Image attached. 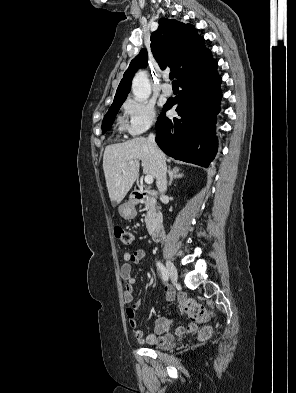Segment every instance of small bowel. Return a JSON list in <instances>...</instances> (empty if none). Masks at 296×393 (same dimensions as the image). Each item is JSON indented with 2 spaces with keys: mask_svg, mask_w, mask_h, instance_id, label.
<instances>
[{
  "mask_svg": "<svg viewBox=\"0 0 296 393\" xmlns=\"http://www.w3.org/2000/svg\"><path fill=\"white\" fill-rule=\"evenodd\" d=\"M146 256L144 249H138L133 252H126L123 255L124 262L120 266V275L124 282L123 300L127 304H131L126 310L129 325L132 328L134 336L140 341L150 345H166L171 342L174 338L173 334L169 332L170 319L161 317L156 320L154 331L144 337L143 331L137 327V310L141 306V300L134 301V291L136 280L132 276V265L139 263ZM165 294L167 301H172L177 295L180 302L181 310L182 302L186 299L184 293H176V291L170 286L165 285ZM199 321L191 320L187 325H180L175 329V335L183 336L187 333H192L197 329V323Z\"/></svg>",
  "mask_w": 296,
  "mask_h": 393,
  "instance_id": "small-bowel-1",
  "label": "small bowel"
}]
</instances>
